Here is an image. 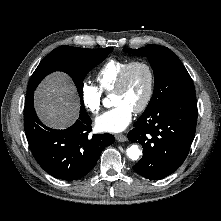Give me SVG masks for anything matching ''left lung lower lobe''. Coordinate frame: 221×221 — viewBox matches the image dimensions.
<instances>
[{
    "mask_svg": "<svg viewBox=\"0 0 221 221\" xmlns=\"http://www.w3.org/2000/svg\"><path fill=\"white\" fill-rule=\"evenodd\" d=\"M197 123L196 95H185L155 105L134 123L128 139L139 142L143 157L134 171L151 180L167 177L186 159Z\"/></svg>",
    "mask_w": 221,
    "mask_h": 221,
    "instance_id": "obj_1",
    "label": "left lung lower lobe"
}]
</instances>
